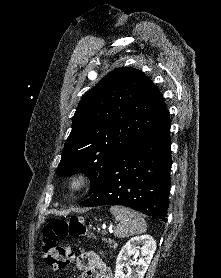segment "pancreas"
Segmentation results:
<instances>
[{
  "mask_svg": "<svg viewBox=\"0 0 221 278\" xmlns=\"http://www.w3.org/2000/svg\"><path fill=\"white\" fill-rule=\"evenodd\" d=\"M103 241H105L106 243H108L110 248H115L116 244L114 241H112L111 239H107V238H103Z\"/></svg>",
  "mask_w": 221,
  "mask_h": 278,
  "instance_id": "obj_1",
  "label": "pancreas"
}]
</instances>
